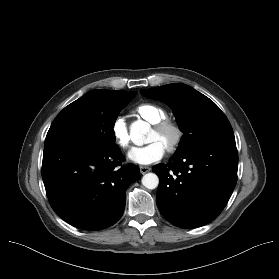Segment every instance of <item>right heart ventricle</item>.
Instances as JSON below:
<instances>
[{
    "label": "right heart ventricle",
    "instance_id": "obj_1",
    "mask_svg": "<svg viewBox=\"0 0 279 279\" xmlns=\"http://www.w3.org/2000/svg\"><path fill=\"white\" fill-rule=\"evenodd\" d=\"M135 113L145 121L154 124L167 117L166 111L152 103H142L135 108Z\"/></svg>",
    "mask_w": 279,
    "mask_h": 279
}]
</instances>
